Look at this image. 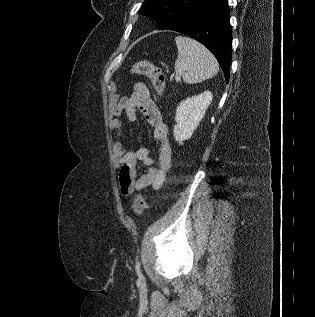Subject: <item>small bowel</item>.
<instances>
[{"mask_svg": "<svg viewBox=\"0 0 315 317\" xmlns=\"http://www.w3.org/2000/svg\"><path fill=\"white\" fill-rule=\"evenodd\" d=\"M137 111L142 113L147 123L153 128V136L159 145L157 163L150 157L147 148L129 150L123 143V127L118 116L125 113L129 121L135 122ZM111 114L113 118L109 122V129L117 136L113 144V157L119 169L121 193L129 195L135 189L151 187L157 190L161 188L171 168L172 149L168 127L147 87L142 83L136 84L133 95L115 104ZM139 164L147 167V172L140 177H138Z\"/></svg>", "mask_w": 315, "mask_h": 317, "instance_id": "c3829d8e", "label": "small bowel"}]
</instances>
